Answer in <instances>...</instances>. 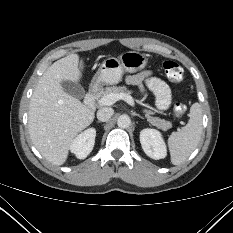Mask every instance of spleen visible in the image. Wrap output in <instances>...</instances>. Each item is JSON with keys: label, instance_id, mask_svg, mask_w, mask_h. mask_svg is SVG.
I'll return each instance as SVG.
<instances>
[{"label": "spleen", "instance_id": "3e777b00", "mask_svg": "<svg viewBox=\"0 0 233 233\" xmlns=\"http://www.w3.org/2000/svg\"><path fill=\"white\" fill-rule=\"evenodd\" d=\"M202 134V109L199 103L190 108V119L182 129L172 132L168 138L171 162L180 165L197 147Z\"/></svg>", "mask_w": 233, "mask_h": 233}]
</instances>
